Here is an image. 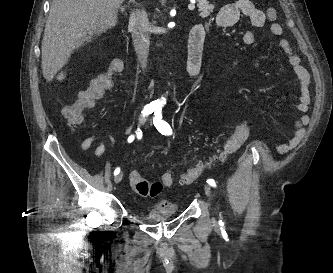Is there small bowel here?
<instances>
[{
  "label": "small bowel",
  "instance_id": "1",
  "mask_svg": "<svg viewBox=\"0 0 333 273\" xmlns=\"http://www.w3.org/2000/svg\"><path fill=\"white\" fill-rule=\"evenodd\" d=\"M241 15L246 16L249 19L250 24L257 28L263 27L267 21L265 11L256 8L249 0H235L221 8L215 19V26L218 28L232 27L238 23ZM202 27L204 28L203 25ZM269 30L271 35L279 37V46L281 50L288 55L289 63L295 71L300 84L301 99L299 110L303 112L304 115L302 116L301 121L295 124V136L281 145V149L283 150H292L296 147L302 137V124L308 120V116L306 115L310 102L308 74L305 68L301 65L299 56L293 52L289 41L281 37V26L276 22L271 23ZM242 40L245 45H252L255 42V36L251 31H245ZM239 63L240 61L238 59H234L231 64L232 68H237ZM93 145H95V155L97 157H102L105 154L106 147L104 142L97 135L87 137L81 143L80 148L82 151H87Z\"/></svg>",
  "mask_w": 333,
  "mask_h": 273
}]
</instances>
